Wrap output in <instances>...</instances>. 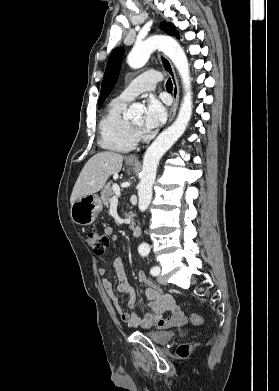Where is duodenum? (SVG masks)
Listing matches in <instances>:
<instances>
[{"mask_svg": "<svg viewBox=\"0 0 279 391\" xmlns=\"http://www.w3.org/2000/svg\"><path fill=\"white\" fill-rule=\"evenodd\" d=\"M141 235V229L138 225L132 227V237L138 238Z\"/></svg>", "mask_w": 279, "mask_h": 391, "instance_id": "410a0bca", "label": "duodenum"}]
</instances>
